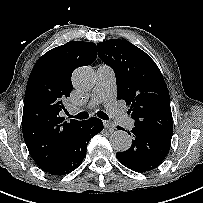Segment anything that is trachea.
<instances>
[{"mask_svg": "<svg viewBox=\"0 0 203 203\" xmlns=\"http://www.w3.org/2000/svg\"><path fill=\"white\" fill-rule=\"evenodd\" d=\"M97 116L103 120H108L109 117L106 113H104L103 111H98L97 113ZM70 117L72 118H77V119H80V120H84V119H87L89 117V114L87 112H80L79 114L75 115V116H72V115H69Z\"/></svg>", "mask_w": 203, "mask_h": 203, "instance_id": "1", "label": "trachea"}]
</instances>
